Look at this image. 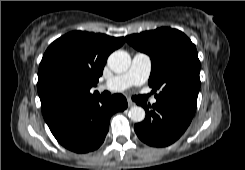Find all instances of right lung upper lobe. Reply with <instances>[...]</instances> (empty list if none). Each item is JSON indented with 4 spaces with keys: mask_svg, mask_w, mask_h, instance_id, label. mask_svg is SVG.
Listing matches in <instances>:
<instances>
[{
    "mask_svg": "<svg viewBox=\"0 0 245 170\" xmlns=\"http://www.w3.org/2000/svg\"><path fill=\"white\" fill-rule=\"evenodd\" d=\"M124 42V37L74 31L51 43L38 72V94L48 126L99 95L90 89L102 75L109 54Z\"/></svg>",
    "mask_w": 245,
    "mask_h": 170,
    "instance_id": "1",
    "label": "right lung upper lobe"
}]
</instances>
